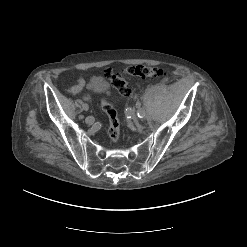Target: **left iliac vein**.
Listing matches in <instances>:
<instances>
[{"instance_id":"1","label":"left iliac vein","mask_w":247,"mask_h":247,"mask_svg":"<svg viewBox=\"0 0 247 247\" xmlns=\"http://www.w3.org/2000/svg\"><path fill=\"white\" fill-rule=\"evenodd\" d=\"M132 118H133V120L137 119V114L134 111L132 112Z\"/></svg>"}]
</instances>
